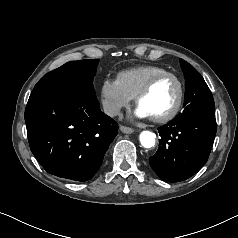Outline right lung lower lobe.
<instances>
[{
    "label": "right lung lower lobe",
    "instance_id": "obj_1",
    "mask_svg": "<svg viewBox=\"0 0 238 238\" xmlns=\"http://www.w3.org/2000/svg\"><path fill=\"white\" fill-rule=\"evenodd\" d=\"M25 122L30 149L42 167L81 182L97 172L118 133L94 93L76 86L33 90Z\"/></svg>",
    "mask_w": 238,
    "mask_h": 238
}]
</instances>
